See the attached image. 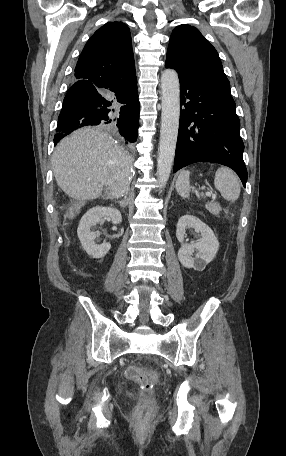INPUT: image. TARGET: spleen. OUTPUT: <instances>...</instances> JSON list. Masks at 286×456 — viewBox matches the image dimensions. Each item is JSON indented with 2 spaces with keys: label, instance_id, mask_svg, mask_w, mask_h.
I'll list each match as a JSON object with an SVG mask.
<instances>
[{
  "label": "spleen",
  "instance_id": "3e777b00",
  "mask_svg": "<svg viewBox=\"0 0 286 456\" xmlns=\"http://www.w3.org/2000/svg\"><path fill=\"white\" fill-rule=\"evenodd\" d=\"M189 175V171H182L176 182V191L183 198H189ZM214 185L215 188L221 193L222 197L228 201H236L240 195V180L238 176L227 167H221L216 171Z\"/></svg>",
  "mask_w": 286,
  "mask_h": 456
}]
</instances>
